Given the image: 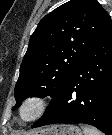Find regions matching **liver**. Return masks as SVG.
<instances>
[{"label":"liver","mask_w":112,"mask_h":135,"mask_svg":"<svg viewBox=\"0 0 112 135\" xmlns=\"http://www.w3.org/2000/svg\"><path fill=\"white\" fill-rule=\"evenodd\" d=\"M44 130L38 131L39 134H43Z\"/></svg>","instance_id":"6515ba94"}]
</instances>
